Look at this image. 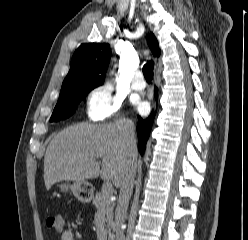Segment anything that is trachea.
<instances>
[{
    "mask_svg": "<svg viewBox=\"0 0 248 240\" xmlns=\"http://www.w3.org/2000/svg\"><path fill=\"white\" fill-rule=\"evenodd\" d=\"M153 69H154V64L153 62H147L143 66V75L148 83H150L153 79Z\"/></svg>",
    "mask_w": 248,
    "mask_h": 240,
    "instance_id": "1",
    "label": "trachea"
}]
</instances>
